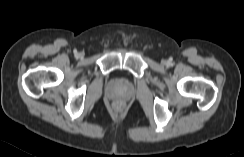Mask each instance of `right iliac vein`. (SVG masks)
Segmentation results:
<instances>
[{"label": "right iliac vein", "mask_w": 244, "mask_h": 157, "mask_svg": "<svg viewBox=\"0 0 244 157\" xmlns=\"http://www.w3.org/2000/svg\"><path fill=\"white\" fill-rule=\"evenodd\" d=\"M75 56L79 58V57L81 56V54H80V53H78V54H76Z\"/></svg>", "instance_id": "1"}]
</instances>
